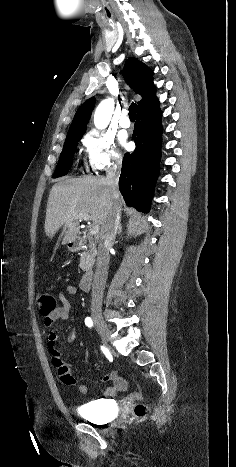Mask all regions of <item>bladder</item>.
<instances>
[{
  "label": "bladder",
  "instance_id": "1",
  "mask_svg": "<svg viewBox=\"0 0 236 467\" xmlns=\"http://www.w3.org/2000/svg\"><path fill=\"white\" fill-rule=\"evenodd\" d=\"M78 412L91 422L102 423L108 416L113 415L114 408L110 399H96L84 404Z\"/></svg>",
  "mask_w": 236,
  "mask_h": 467
}]
</instances>
